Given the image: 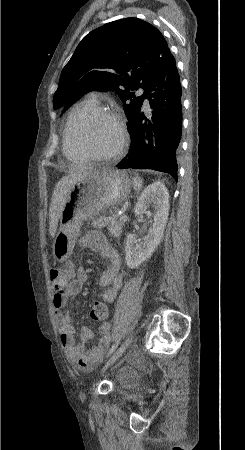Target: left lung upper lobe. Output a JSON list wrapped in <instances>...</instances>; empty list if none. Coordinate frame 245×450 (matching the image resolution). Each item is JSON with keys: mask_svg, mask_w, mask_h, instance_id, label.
Masks as SVG:
<instances>
[{"mask_svg": "<svg viewBox=\"0 0 245 450\" xmlns=\"http://www.w3.org/2000/svg\"><path fill=\"white\" fill-rule=\"evenodd\" d=\"M158 29L137 18L110 22L93 30L63 68L53 107L65 108L93 90H115L129 125L140 111L148 85L171 57ZM124 87V90L122 89ZM143 88L137 99L134 90ZM130 100L131 103L125 102Z\"/></svg>", "mask_w": 245, "mask_h": 450, "instance_id": "5c2ea615", "label": "left lung upper lobe"}]
</instances>
